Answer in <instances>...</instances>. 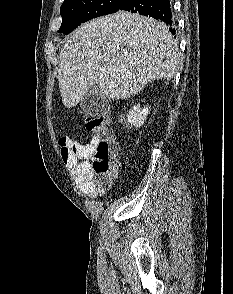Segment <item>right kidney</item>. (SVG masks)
Returning a JSON list of instances; mask_svg holds the SVG:
<instances>
[{"label": "right kidney", "mask_w": 233, "mask_h": 294, "mask_svg": "<svg viewBox=\"0 0 233 294\" xmlns=\"http://www.w3.org/2000/svg\"><path fill=\"white\" fill-rule=\"evenodd\" d=\"M149 108L150 107L146 106L141 109L139 104L133 106V108L128 112L127 123L135 127H141L146 120V116L149 114Z\"/></svg>", "instance_id": "ca27d5eb"}]
</instances>
